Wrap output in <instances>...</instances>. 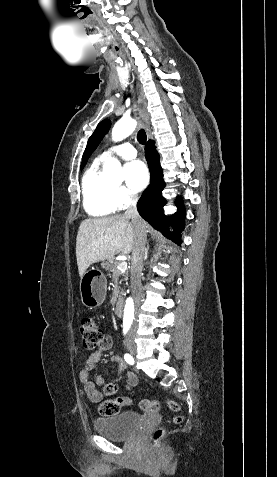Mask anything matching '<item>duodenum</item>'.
I'll return each mask as SVG.
<instances>
[{"label":"duodenum","instance_id":"obj_1","mask_svg":"<svg viewBox=\"0 0 277 477\" xmlns=\"http://www.w3.org/2000/svg\"><path fill=\"white\" fill-rule=\"evenodd\" d=\"M115 313L118 315V316H122L123 315V302L122 300H118L116 303H115Z\"/></svg>","mask_w":277,"mask_h":477}]
</instances>
